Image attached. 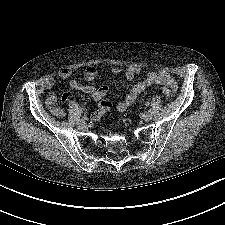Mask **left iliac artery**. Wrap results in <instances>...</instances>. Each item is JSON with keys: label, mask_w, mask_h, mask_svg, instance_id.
Returning a JSON list of instances; mask_svg holds the SVG:
<instances>
[{"label": "left iliac artery", "mask_w": 225, "mask_h": 225, "mask_svg": "<svg viewBox=\"0 0 225 225\" xmlns=\"http://www.w3.org/2000/svg\"><path fill=\"white\" fill-rule=\"evenodd\" d=\"M147 112H148V113H151V112H152V109H151V108H148V109H147Z\"/></svg>", "instance_id": "44dca946"}]
</instances>
